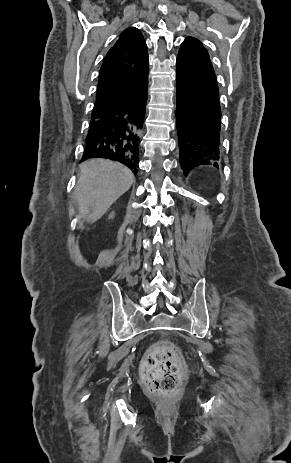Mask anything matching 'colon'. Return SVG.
<instances>
[{
  "label": "colon",
  "mask_w": 291,
  "mask_h": 463,
  "mask_svg": "<svg viewBox=\"0 0 291 463\" xmlns=\"http://www.w3.org/2000/svg\"><path fill=\"white\" fill-rule=\"evenodd\" d=\"M142 375L153 394L159 397L173 394L184 376L177 350L168 343L152 347L144 357Z\"/></svg>",
  "instance_id": "1"
}]
</instances>
